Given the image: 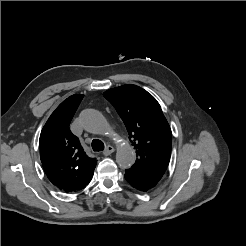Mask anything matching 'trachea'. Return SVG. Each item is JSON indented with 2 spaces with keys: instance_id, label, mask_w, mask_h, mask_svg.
I'll return each mask as SVG.
<instances>
[{
  "instance_id": "obj_1",
  "label": "trachea",
  "mask_w": 246,
  "mask_h": 246,
  "mask_svg": "<svg viewBox=\"0 0 246 246\" xmlns=\"http://www.w3.org/2000/svg\"><path fill=\"white\" fill-rule=\"evenodd\" d=\"M92 149L94 151H103L104 150V143L101 141V140H98V139H94L92 141Z\"/></svg>"
}]
</instances>
